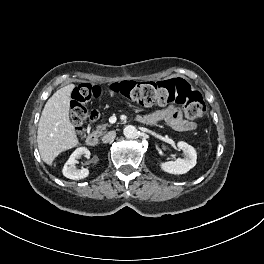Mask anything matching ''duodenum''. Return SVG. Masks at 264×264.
I'll return each instance as SVG.
<instances>
[{
  "label": "duodenum",
  "instance_id": "duodenum-1",
  "mask_svg": "<svg viewBox=\"0 0 264 264\" xmlns=\"http://www.w3.org/2000/svg\"><path fill=\"white\" fill-rule=\"evenodd\" d=\"M86 144L89 146H96L99 143V136L97 133H90L86 136Z\"/></svg>",
  "mask_w": 264,
  "mask_h": 264
}]
</instances>
